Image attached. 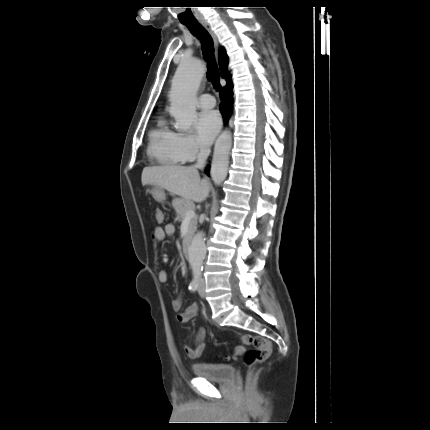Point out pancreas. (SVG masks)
<instances>
[{"mask_svg": "<svg viewBox=\"0 0 430 430\" xmlns=\"http://www.w3.org/2000/svg\"><path fill=\"white\" fill-rule=\"evenodd\" d=\"M172 206L177 213V220H179V221L184 220L185 213L189 209H194V204L191 201H186V200L180 199V198L174 199L172 201ZM196 225H197V216H194L190 219L188 232L191 233V231L195 228Z\"/></svg>", "mask_w": 430, "mask_h": 430, "instance_id": "obj_1", "label": "pancreas"}]
</instances>
